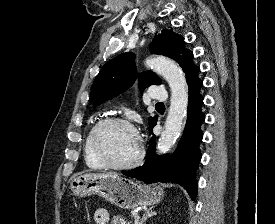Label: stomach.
Returning <instances> with one entry per match:
<instances>
[{
  "label": "stomach",
  "mask_w": 275,
  "mask_h": 224,
  "mask_svg": "<svg viewBox=\"0 0 275 224\" xmlns=\"http://www.w3.org/2000/svg\"><path fill=\"white\" fill-rule=\"evenodd\" d=\"M70 189L75 196L99 195L121 209L157 204L164 196L160 186H146L111 173L84 174L72 179Z\"/></svg>",
  "instance_id": "stomach-1"
}]
</instances>
